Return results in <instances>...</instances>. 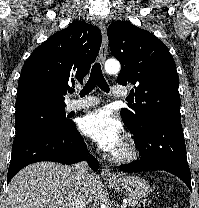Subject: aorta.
I'll return each instance as SVG.
<instances>
[{"label":"aorta","instance_id":"aorta-1","mask_svg":"<svg viewBox=\"0 0 199 208\" xmlns=\"http://www.w3.org/2000/svg\"><path fill=\"white\" fill-rule=\"evenodd\" d=\"M105 71L109 74H116L120 71V63L115 59L106 61Z\"/></svg>","mask_w":199,"mask_h":208}]
</instances>
